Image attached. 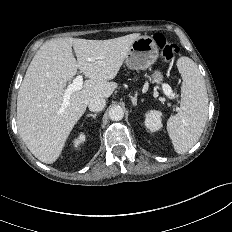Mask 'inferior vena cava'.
Segmentation results:
<instances>
[{
	"mask_svg": "<svg viewBox=\"0 0 232 232\" xmlns=\"http://www.w3.org/2000/svg\"><path fill=\"white\" fill-rule=\"evenodd\" d=\"M106 105L104 98L96 97L89 102L88 108L92 112H99L103 110Z\"/></svg>",
	"mask_w": 232,
	"mask_h": 232,
	"instance_id": "602c4592",
	"label": "inferior vena cava"
}]
</instances>
